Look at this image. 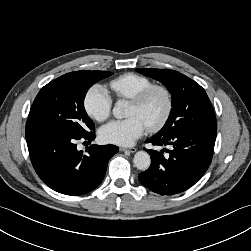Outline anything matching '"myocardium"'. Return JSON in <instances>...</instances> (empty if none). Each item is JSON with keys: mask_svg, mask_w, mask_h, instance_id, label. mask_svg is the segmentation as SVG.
Segmentation results:
<instances>
[{"mask_svg": "<svg viewBox=\"0 0 251 251\" xmlns=\"http://www.w3.org/2000/svg\"><path fill=\"white\" fill-rule=\"evenodd\" d=\"M155 93L162 94V96L164 97L165 105L161 115L148 126V130L151 132L157 131L161 127H163L172 112L173 97L171 91L164 85L153 84L152 86L144 89L139 94L130 99V101L135 105L144 106L151 98V96Z\"/></svg>", "mask_w": 251, "mask_h": 251, "instance_id": "myocardium-1", "label": "myocardium"}]
</instances>
